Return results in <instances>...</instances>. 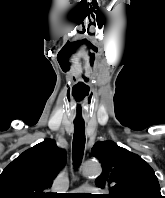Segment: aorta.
Instances as JSON below:
<instances>
[{"label":"aorta","instance_id":"1","mask_svg":"<svg viewBox=\"0 0 165 198\" xmlns=\"http://www.w3.org/2000/svg\"><path fill=\"white\" fill-rule=\"evenodd\" d=\"M82 174L84 176L99 175L102 171L100 164L94 162H87L82 166Z\"/></svg>","mask_w":165,"mask_h":198}]
</instances>
